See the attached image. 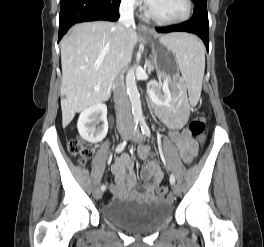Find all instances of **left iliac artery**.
Segmentation results:
<instances>
[{"mask_svg": "<svg viewBox=\"0 0 264 247\" xmlns=\"http://www.w3.org/2000/svg\"><path fill=\"white\" fill-rule=\"evenodd\" d=\"M140 127H141V131L142 133L147 136L150 137L151 136V131L146 123V121L144 119L140 120ZM170 183L173 185L175 183V177L173 174L170 175Z\"/></svg>", "mask_w": 264, "mask_h": 247, "instance_id": "44dca946", "label": "left iliac artery"}]
</instances>
